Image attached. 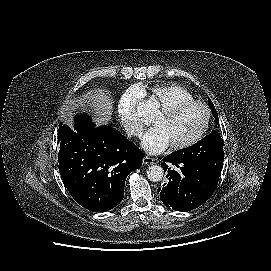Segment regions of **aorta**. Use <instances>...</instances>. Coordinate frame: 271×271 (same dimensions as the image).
I'll return each mask as SVG.
<instances>
[{
  "instance_id": "762f6f07",
  "label": "aorta",
  "mask_w": 271,
  "mask_h": 271,
  "mask_svg": "<svg viewBox=\"0 0 271 271\" xmlns=\"http://www.w3.org/2000/svg\"><path fill=\"white\" fill-rule=\"evenodd\" d=\"M164 175V170L161 166L152 165L147 169V177L152 182H158L162 180Z\"/></svg>"
}]
</instances>
